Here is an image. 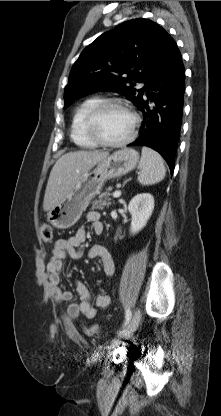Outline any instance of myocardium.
<instances>
[{
  "label": "myocardium",
  "instance_id": "f54148a6",
  "mask_svg": "<svg viewBox=\"0 0 221 416\" xmlns=\"http://www.w3.org/2000/svg\"><path fill=\"white\" fill-rule=\"evenodd\" d=\"M109 107H119L128 112L132 118V125L129 134L120 141L113 142L104 139L100 135L96 127L99 116L102 114L104 110H106ZM139 123V115L126 103L119 99H105L99 102L88 114L87 119L85 121V130L88 136L98 145L111 148H118L127 145L135 138L137 129L139 127Z\"/></svg>",
  "mask_w": 221,
  "mask_h": 416
}]
</instances>
